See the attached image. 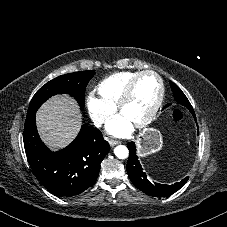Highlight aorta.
I'll list each match as a JSON object with an SVG mask.
<instances>
[{"label": "aorta", "instance_id": "aorta-1", "mask_svg": "<svg viewBox=\"0 0 227 227\" xmlns=\"http://www.w3.org/2000/svg\"><path fill=\"white\" fill-rule=\"evenodd\" d=\"M114 154L119 159H126L129 155V151L126 146L119 145V146L115 147Z\"/></svg>", "mask_w": 227, "mask_h": 227}]
</instances>
